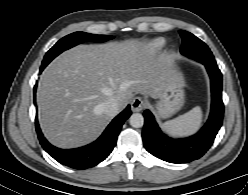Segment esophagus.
<instances>
[{
    "label": "esophagus",
    "instance_id": "34e87169",
    "mask_svg": "<svg viewBox=\"0 0 248 195\" xmlns=\"http://www.w3.org/2000/svg\"><path fill=\"white\" fill-rule=\"evenodd\" d=\"M146 106V102L142 100L140 97L133 98L131 102V109L133 112H140L142 111Z\"/></svg>",
    "mask_w": 248,
    "mask_h": 195
}]
</instances>
